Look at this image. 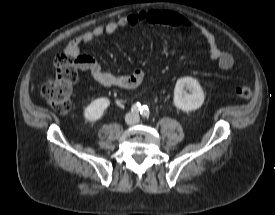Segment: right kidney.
Listing matches in <instances>:
<instances>
[{
	"label": "right kidney",
	"instance_id": "right-kidney-1",
	"mask_svg": "<svg viewBox=\"0 0 275 215\" xmlns=\"http://www.w3.org/2000/svg\"><path fill=\"white\" fill-rule=\"evenodd\" d=\"M110 105L108 98H98L92 101L84 110V117L89 121H96L103 116L104 111Z\"/></svg>",
	"mask_w": 275,
	"mask_h": 215
}]
</instances>
